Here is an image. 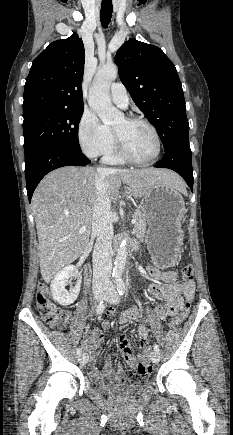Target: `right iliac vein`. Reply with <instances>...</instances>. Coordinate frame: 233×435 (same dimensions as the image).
<instances>
[{"label": "right iliac vein", "mask_w": 233, "mask_h": 435, "mask_svg": "<svg viewBox=\"0 0 233 435\" xmlns=\"http://www.w3.org/2000/svg\"><path fill=\"white\" fill-rule=\"evenodd\" d=\"M103 295H104L103 290H100V291H97L94 293V297L97 301H100L103 298ZM88 359H89L88 355L86 353H83L79 357V362L81 365H85V364H87Z\"/></svg>", "instance_id": "obj_1"}]
</instances>
